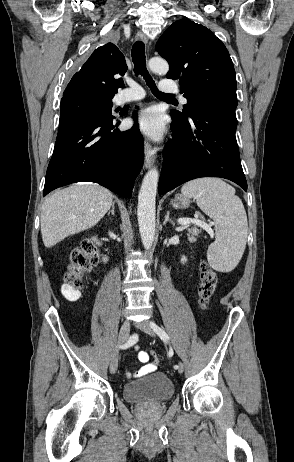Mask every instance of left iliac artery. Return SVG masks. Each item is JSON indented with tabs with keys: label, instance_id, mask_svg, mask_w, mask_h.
<instances>
[{
	"label": "left iliac artery",
	"instance_id": "44dca946",
	"mask_svg": "<svg viewBox=\"0 0 294 462\" xmlns=\"http://www.w3.org/2000/svg\"><path fill=\"white\" fill-rule=\"evenodd\" d=\"M152 329L157 333V335L163 339V340H167L169 341V336L167 335V333L164 331V329L160 328L158 325H156L154 322H151L150 323ZM168 351H167V359L168 360H171L172 358H174V353H173V345L172 344H169L168 345ZM175 369L178 368V365H175L174 366Z\"/></svg>",
	"mask_w": 294,
	"mask_h": 462
}]
</instances>
